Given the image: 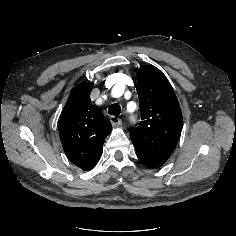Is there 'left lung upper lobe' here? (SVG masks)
<instances>
[{"label": "left lung upper lobe", "mask_w": 236, "mask_h": 236, "mask_svg": "<svg viewBox=\"0 0 236 236\" xmlns=\"http://www.w3.org/2000/svg\"><path fill=\"white\" fill-rule=\"evenodd\" d=\"M141 122L130 137L138 155L165 162L182 130L178 99L165 75L154 66L139 69Z\"/></svg>", "instance_id": "1"}]
</instances>
